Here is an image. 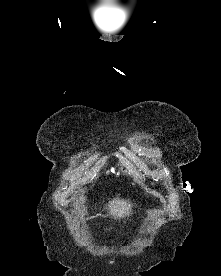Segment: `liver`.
Listing matches in <instances>:
<instances>
[{
	"label": "liver",
	"instance_id": "obj_1",
	"mask_svg": "<svg viewBox=\"0 0 221 276\" xmlns=\"http://www.w3.org/2000/svg\"><path fill=\"white\" fill-rule=\"evenodd\" d=\"M109 214L112 215L115 219L124 218L131 214L132 205L129 201L114 199L108 204Z\"/></svg>",
	"mask_w": 221,
	"mask_h": 276
}]
</instances>
